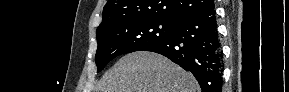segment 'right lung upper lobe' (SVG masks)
Listing matches in <instances>:
<instances>
[{
	"instance_id": "cb5924a9",
	"label": "right lung upper lobe",
	"mask_w": 289,
	"mask_h": 92,
	"mask_svg": "<svg viewBox=\"0 0 289 92\" xmlns=\"http://www.w3.org/2000/svg\"><path fill=\"white\" fill-rule=\"evenodd\" d=\"M213 6V0H108L97 31L133 19L159 18L177 22Z\"/></svg>"
}]
</instances>
